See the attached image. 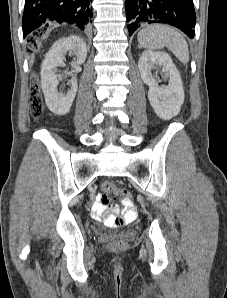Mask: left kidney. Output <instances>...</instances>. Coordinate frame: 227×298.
I'll return each instance as SVG.
<instances>
[{"label": "left kidney", "instance_id": "1", "mask_svg": "<svg viewBox=\"0 0 227 298\" xmlns=\"http://www.w3.org/2000/svg\"><path fill=\"white\" fill-rule=\"evenodd\" d=\"M162 66L169 78L167 86L160 87L151 70ZM143 82L149 86L148 99L155 113L162 119L176 116L184 102L183 83L171 57L165 52L146 50L138 62Z\"/></svg>", "mask_w": 227, "mask_h": 298}]
</instances>
